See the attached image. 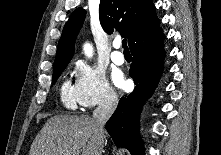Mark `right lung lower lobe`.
Segmentation results:
<instances>
[{
  "label": "right lung lower lobe",
  "mask_w": 221,
  "mask_h": 155,
  "mask_svg": "<svg viewBox=\"0 0 221 155\" xmlns=\"http://www.w3.org/2000/svg\"><path fill=\"white\" fill-rule=\"evenodd\" d=\"M165 36L159 23L140 35L130 46L133 62L130 76L135 89L122 97L117 109L106 124V129L115 143L127 148L132 155H143L139 136L138 119L144 101L151 96L163 71Z\"/></svg>",
  "instance_id": "98d812e1"
}]
</instances>
